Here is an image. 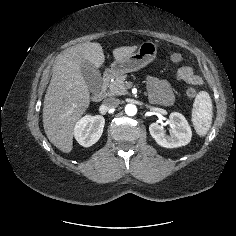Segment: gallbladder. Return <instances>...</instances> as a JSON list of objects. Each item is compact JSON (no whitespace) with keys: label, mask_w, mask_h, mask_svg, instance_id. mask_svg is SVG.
Instances as JSON below:
<instances>
[{"label":"gallbladder","mask_w":236,"mask_h":236,"mask_svg":"<svg viewBox=\"0 0 236 236\" xmlns=\"http://www.w3.org/2000/svg\"><path fill=\"white\" fill-rule=\"evenodd\" d=\"M81 73L88 86V89L95 93L100 90L102 85V77L99 69L88 61L81 64Z\"/></svg>","instance_id":"1"}]
</instances>
